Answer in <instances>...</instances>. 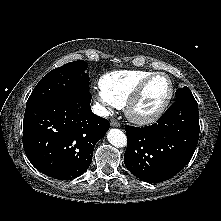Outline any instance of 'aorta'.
<instances>
[{"label":"aorta","mask_w":221,"mask_h":221,"mask_svg":"<svg viewBox=\"0 0 221 221\" xmlns=\"http://www.w3.org/2000/svg\"><path fill=\"white\" fill-rule=\"evenodd\" d=\"M107 139L115 147H125L127 145L126 135L119 129H110L107 133Z\"/></svg>","instance_id":"aorta-1"}]
</instances>
